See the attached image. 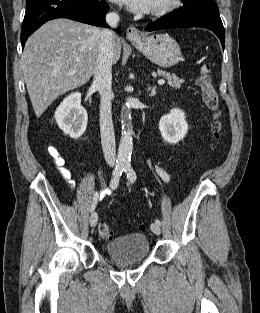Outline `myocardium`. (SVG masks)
<instances>
[{
    "label": "myocardium",
    "mask_w": 260,
    "mask_h": 313,
    "mask_svg": "<svg viewBox=\"0 0 260 313\" xmlns=\"http://www.w3.org/2000/svg\"><path fill=\"white\" fill-rule=\"evenodd\" d=\"M181 0H166L162 5L152 8L151 15L155 17H162L168 15L179 8Z\"/></svg>",
    "instance_id": "obj_1"
}]
</instances>
